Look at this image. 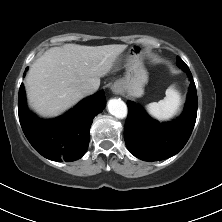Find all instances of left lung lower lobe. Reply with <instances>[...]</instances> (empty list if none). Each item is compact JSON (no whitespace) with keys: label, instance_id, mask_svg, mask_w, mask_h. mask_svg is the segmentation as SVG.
<instances>
[{"label":"left lung lower lobe","instance_id":"obj_1","mask_svg":"<svg viewBox=\"0 0 222 222\" xmlns=\"http://www.w3.org/2000/svg\"><path fill=\"white\" fill-rule=\"evenodd\" d=\"M190 78V87L182 116L172 122L161 124L150 118L138 105L127 102L128 117L124 139L128 150L145 161H158L177 154L187 143L197 116V91L189 69L184 70Z\"/></svg>","mask_w":222,"mask_h":222}]
</instances>
